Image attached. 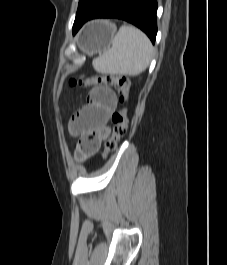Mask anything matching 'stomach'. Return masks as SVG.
<instances>
[{"instance_id": "stomach-1", "label": "stomach", "mask_w": 227, "mask_h": 265, "mask_svg": "<svg viewBox=\"0 0 227 265\" xmlns=\"http://www.w3.org/2000/svg\"><path fill=\"white\" fill-rule=\"evenodd\" d=\"M116 27L108 21L90 23L82 37L80 47L88 55L100 53L110 47Z\"/></svg>"}]
</instances>
